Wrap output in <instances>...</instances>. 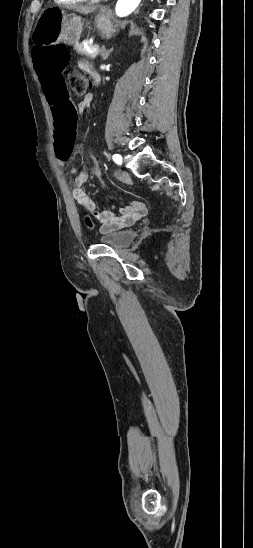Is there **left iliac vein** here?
Masks as SVG:
<instances>
[{"label":"left iliac vein","instance_id":"obj_1","mask_svg":"<svg viewBox=\"0 0 253 548\" xmlns=\"http://www.w3.org/2000/svg\"><path fill=\"white\" fill-rule=\"evenodd\" d=\"M118 175H119V178L122 180V181H127L129 179V174L127 172H124V171H119L118 172Z\"/></svg>","mask_w":253,"mask_h":548}]
</instances>
